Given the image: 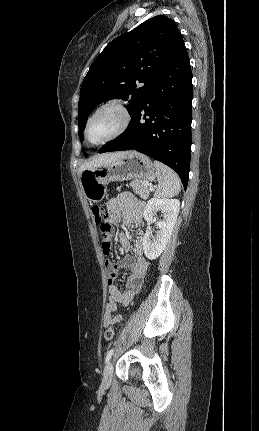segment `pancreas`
<instances>
[{
    "mask_svg": "<svg viewBox=\"0 0 259 431\" xmlns=\"http://www.w3.org/2000/svg\"><path fill=\"white\" fill-rule=\"evenodd\" d=\"M135 194L139 195L143 199H147L150 194L149 185L145 181L135 179L130 183Z\"/></svg>",
    "mask_w": 259,
    "mask_h": 431,
    "instance_id": "obj_1",
    "label": "pancreas"
}]
</instances>
